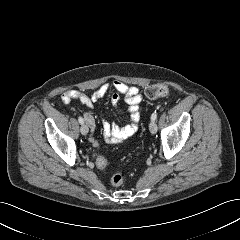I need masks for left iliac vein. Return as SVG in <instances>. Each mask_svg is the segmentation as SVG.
<instances>
[{"mask_svg": "<svg viewBox=\"0 0 240 240\" xmlns=\"http://www.w3.org/2000/svg\"><path fill=\"white\" fill-rule=\"evenodd\" d=\"M149 130L152 134H155L157 132V125H156L155 121L152 120L149 123Z\"/></svg>", "mask_w": 240, "mask_h": 240, "instance_id": "1", "label": "left iliac vein"}]
</instances>
